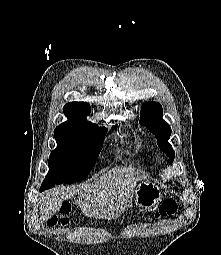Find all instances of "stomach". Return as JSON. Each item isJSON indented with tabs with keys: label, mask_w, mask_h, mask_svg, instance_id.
Instances as JSON below:
<instances>
[{
	"label": "stomach",
	"mask_w": 221,
	"mask_h": 255,
	"mask_svg": "<svg viewBox=\"0 0 221 255\" xmlns=\"http://www.w3.org/2000/svg\"><path fill=\"white\" fill-rule=\"evenodd\" d=\"M162 192L159 186L150 181H141L135 189V203L142 209H149L160 202ZM125 210L119 212V216L124 214Z\"/></svg>",
	"instance_id": "0dacf381"
}]
</instances>
